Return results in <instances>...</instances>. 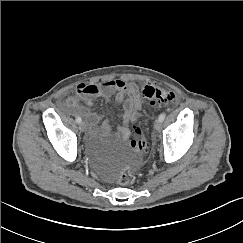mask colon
Wrapping results in <instances>:
<instances>
[{
	"instance_id": "obj_1",
	"label": "colon",
	"mask_w": 243,
	"mask_h": 243,
	"mask_svg": "<svg viewBox=\"0 0 243 243\" xmlns=\"http://www.w3.org/2000/svg\"><path fill=\"white\" fill-rule=\"evenodd\" d=\"M142 96L151 105L169 106L174 103L175 95L172 91L159 87L154 83L145 84L142 87ZM134 138L130 141V147L141 157L148 152L149 143L145 137L143 127L140 125L134 126ZM132 169L129 166L124 167L117 178V183L120 186H127L132 181Z\"/></svg>"
}]
</instances>
